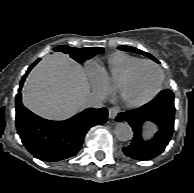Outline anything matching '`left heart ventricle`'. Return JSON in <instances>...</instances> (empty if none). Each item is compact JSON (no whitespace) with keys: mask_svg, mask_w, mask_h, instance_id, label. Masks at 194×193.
Here are the masks:
<instances>
[{"mask_svg":"<svg viewBox=\"0 0 194 193\" xmlns=\"http://www.w3.org/2000/svg\"><path fill=\"white\" fill-rule=\"evenodd\" d=\"M159 82L158 70L150 65L140 66L122 88V96L128 101H141L149 97Z\"/></svg>","mask_w":194,"mask_h":193,"instance_id":"1","label":"left heart ventricle"}]
</instances>
